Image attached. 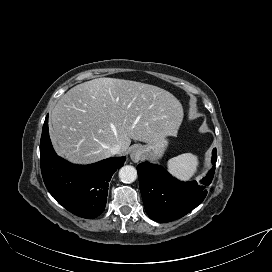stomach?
Instances as JSON below:
<instances>
[{"label":"stomach","mask_w":272,"mask_h":272,"mask_svg":"<svg viewBox=\"0 0 272 272\" xmlns=\"http://www.w3.org/2000/svg\"><path fill=\"white\" fill-rule=\"evenodd\" d=\"M167 146L168 140L166 138H162L155 143L144 145L142 148L148 158L151 160H158L163 156Z\"/></svg>","instance_id":"obj_1"}]
</instances>
